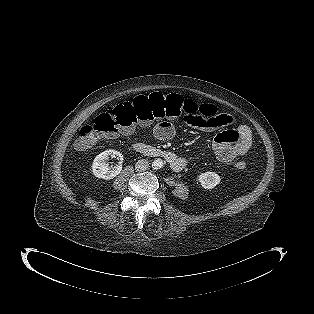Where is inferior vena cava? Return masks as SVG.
I'll return each mask as SVG.
<instances>
[{
	"instance_id": "inferior-vena-cava-1",
	"label": "inferior vena cava",
	"mask_w": 314,
	"mask_h": 314,
	"mask_svg": "<svg viewBox=\"0 0 314 314\" xmlns=\"http://www.w3.org/2000/svg\"><path fill=\"white\" fill-rule=\"evenodd\" d=\"M149 168V162L146 159L138 160L135 164V169L139 172L145 171Z\"/></svg>"
}]
</instances>
